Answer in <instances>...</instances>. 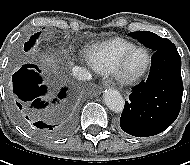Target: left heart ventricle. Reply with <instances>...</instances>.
Returning a JSON list of instances; mask_svg holds the SVG:
<instances>
[{"label":"left heart ventricle","mask_w":190,"mask_h":165,"mask_svg":"<svg viewBox=\"0 0 190 165\" xmlns=\"http://www.w3.org/2000/svg\"><path fill=\"white\" fill-rule=\"evenodd\" d=\"M147 63V54L143 50L135 52L127 62V72L135 74L141 71Z\"/></svg>","instance_id":"b2bd125f"}]
</instances>
